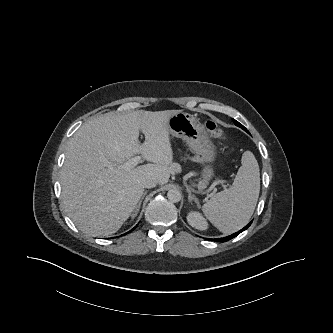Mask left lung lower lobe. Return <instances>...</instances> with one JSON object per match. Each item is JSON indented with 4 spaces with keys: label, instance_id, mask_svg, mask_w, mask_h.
Instances as JSON below:
<instances>
[{
    "label": "left lung lower lobe",
    "instance_id": "1",
    "mask_svg": "<svg viewBox=\"0 0 333 333\" xmlns=\"http://www.w3.org/2000/svg\"><path fill=\"white\" fill-rule=\"evenodd\" d=\"M252 221L250 223H248L243 229H241L240 231L232 234V235H229V236H226V237H223V238H217L216 241L218 242H226L234 237H236L238 234H240L241 232H243L244 230H246L250 225H251Z\"/></svg>",
    "mask_w": 333,
    "mask_h": 333
}]
</instances>
